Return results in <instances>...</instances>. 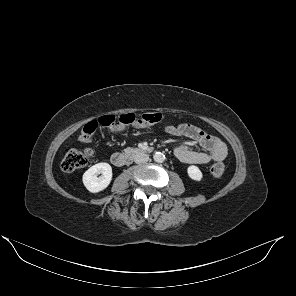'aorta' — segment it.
Listing matches in <instances>:
<instances>
[{
  "mask_svg": "<svg viewBox=\"0 0 296 296\" xmlns=\"http://www.w3.org/2000/svg\"><path fill=\"white\" fill-rule=\"evenodd\" d=\"M153 159L157 163H162L165 160V155L163 153H161V152H156L153 155Z\"/></svg>",
  "mask_w": 296,
  "mask_h": 296,
  "instance_id": "1",
  "label": "aorta"
}]
</instances>
